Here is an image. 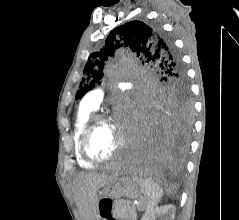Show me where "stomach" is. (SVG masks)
<instances>
[{
    "label": "stomach",
    "mask_w": 239,
    "mask_h": 220,
    "mask_svg": "<svg viewBox=\"0 0 239 220\" xmlns=\"http://www.w3.org/2000/svg\"><path fill=\"white\" fill-rule=\"evenodd\" d=\"M142 193L140 186L131 178H113L100 192L98 200V218L117 220V212H109L113 198H137Z\"/></svg>",
    "instance_id": "0dacf381"
}]
</instances>
